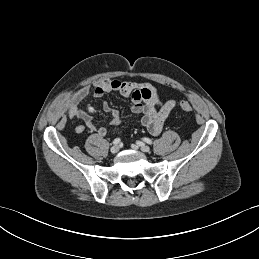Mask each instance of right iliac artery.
I'll return each mask as SVG.
<instances>
[{
  "mask_svg": "<svg viewBox=\"0 0 259 259\" xmlns=\"http://www.w3.org/2000/svg\"><path fill=\"white\" fill-rule=\"evenodd\" d=\"M120 138H116L114 141H113V144L114 145H117V144H119L120 143Z\"/></svg>",
  "mask_w": 259,
  "mask_h": 259,
  "instance_id": "1",
  "label": "right iliac artery"
}]
</instances>
